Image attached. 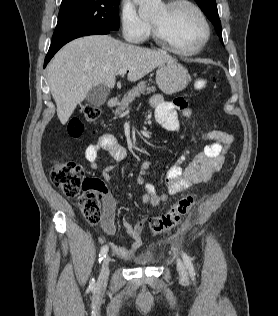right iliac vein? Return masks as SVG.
I'll return each mask as SVG.
<instances>
[{
    "label": "right iliac vein",
    "instance_id": "1",
    "mask_svg": "<svg viewBox=\"0 0 278 316\" xmlns=\"http://www.w3.org/2000/svg\"><path fill=\"white\" fill-rule=\"evenodd\" d=\"M109 262H110V257L107 256L104 258L102 265H101V270H100V275L98 278V285L99 286H104L109 277Z\"/></svg>",
    "mask_w": 278,
    "mask_h": 316
}]
</instances>
